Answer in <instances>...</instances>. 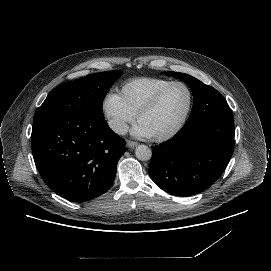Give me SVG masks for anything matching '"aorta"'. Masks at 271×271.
Returning <instances> with one entry per match:
<instances>
[{
	"mask_svg": "<svg viewBox=\"0 0 271 271\" xmlns=\"http://www.w3.org/2000/svg\"><path fill=\"white\" fill-rule=\"evenodd\" d=\"M135 155L137 159L141 161H147L152 157L151 149L146 145H138L135 149Z\"/></svg>",
	"mask_w": 271,
	"mask_h": 271,
	"instance_id": "762f6f07",
	"label": "aorta"
}]
</instances>
